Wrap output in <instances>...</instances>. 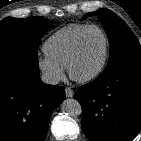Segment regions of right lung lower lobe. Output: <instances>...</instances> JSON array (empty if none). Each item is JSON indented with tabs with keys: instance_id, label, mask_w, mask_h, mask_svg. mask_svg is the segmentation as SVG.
<instances>
[{
	"instance_id": "1",
	"label": "right lung lower lobe",
	"mask_w": 141,
	"mask_h": 141,
	"mask_svg": "<svg viewBox=\"0 0 141 141\" xmlns=\"http://www.w3.org/2000/svg\"><path fill=\"white\" fill-rule=\"evenodd\" d=\"M65 99L64 88L39 78L38 59H0V141H44L52 111Z\"/></svg>"
}]
</instances>
